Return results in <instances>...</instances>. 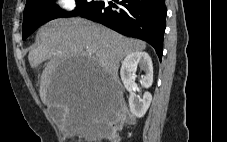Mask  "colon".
Returning a JSON list of instances; mask_svg holds the SVG:
<instances>
[{
	"label": "colon",
	"instance_id": "obj_1",
	"mask_svg": "<svg viewBox=\"0 0 227 142\" xmlns=\"http://www.w3.org/2000/svg\"><path fill=\"white\" fill-rule=\"evenodd\" d=\"M131 122V118L126 113L125 110H119L116 113L109 115L106 119V134L109 139L114 140L115 134L118 129L122 127L123 124Z\"/></svg>",
	"mask_w": 227,
	"mask_h": 142
}]
</instances>
